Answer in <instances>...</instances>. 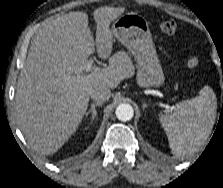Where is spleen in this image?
Masks as SVG:
<instances>
[{"instance_id": "obj_1", "label": "spleen", "mask_w": 223, "mask_h": 188, "mask_svg": "<svg viewBox=\"0 0 223 188\" xmlns=\"http://www.w3.org/2000/svg\"><path fill=\"white\" fill-rule=\"evenodd\" d=\"M217 99L208 86L195 98L175 105L170 114H161L160 123L173 154L190 155L209 135L216 116Z\"/></svg>"}]
</instances>
